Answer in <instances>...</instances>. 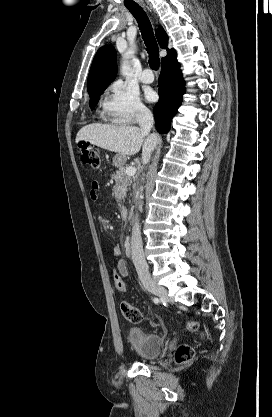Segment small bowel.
<instances>
[{"label":"small bowel","instance_id":"c3829d8e","mask_svg":"<svg viewBox=\"0 0 272 417\" xmlns=\"http://www.w3.org/2000/svg\"><path fill=\"white\" fill-rule=\"evenodd\" d=\"M98 191H99V184H98V182L93 181L92 184H91V189H90V198H91L92 201H97L98 200ZM112 251H113L115 256L119 257L120 253H121L120 245L119 244L113 245ZM115 270L122 276L123 279L127 278L128 269H127L126 263L123 259L119 258L117 260Z\"/></svg>","mask_w":272,"mask_h":417}]
</instances>
